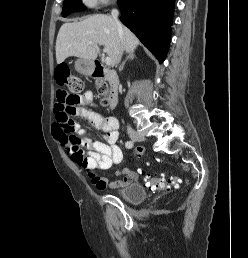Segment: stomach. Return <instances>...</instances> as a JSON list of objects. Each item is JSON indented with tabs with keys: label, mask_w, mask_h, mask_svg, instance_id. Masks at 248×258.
Masks as SVG:
<instances>
[{
	"label": "stomach",
	"mask_w": 248,
	"mask_h": 258,
	"mask_svg": "<svg viewBox=\"0 0 248 258\" xmlns=\"http://www.w3.org/2000/svg\"><path fill=\"white\" fill-rule=\"evenodd\" d=\"M75 68L78 72L85 75H92L94 72L93 62L86 59H78L75 62Z\"/></svg>",
	"instance_id": "stomach-1"
}]
</instances>
